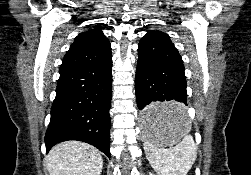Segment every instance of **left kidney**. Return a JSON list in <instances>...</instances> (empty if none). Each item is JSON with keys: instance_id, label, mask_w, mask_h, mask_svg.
Returning a JSON list of instances; mask_svg holds the SVG:
<instances>
[{"instance_id": "5707ae66", "label": "left kidney", "mask_w": 251, "mask_h": 175, "mask_svg": "<svg viewBox=\"0 0 251 175\" xmlns=\"http://www.w3.org/2000/svg\"><path fill=\"white\" fill-rule=\"evenodd\" d=\"M149 175H155V173H151V171H150Z\"/></svg>"}]
</instances>
